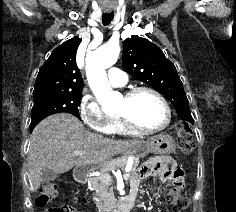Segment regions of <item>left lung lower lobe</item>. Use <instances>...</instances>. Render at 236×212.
<instances>
[{
	"mask_svg": "<svg viewBox=\"0 0 236 212\" xmlns=\"http://www.w3.org/2000/svg\"><path fill=\"white\" fill-rule=\"evenodd\" d=\"M179 117H180L182 120H186V121H188V122H190V123L193 124V118H192L191 114L186 113V114H183V115H181V116H179Z\"/></svg>",
	"mask_w": 236,
	"mask_h": 212,
	"instance_id": "obj_1",
	"label": "left lung lower lobe"
}]
</instances>
